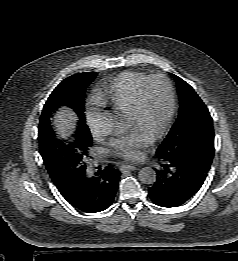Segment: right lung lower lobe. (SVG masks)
<instances>
[{"mask_svg":"<svg viewBox=\"0 0 238 261\" xmlns=\"http://www.w3.org/2000/svg\"><path fill=\"white\" fill-rule=\"evenodd\" d=\"M120 172L111 166L99 170L95 176L82 172L65 185H56L62 196L83 212H100L114 201Z\"/></svg>","mask_w":238,"mask_h":261,"instance_id":"1","label":"right lung lower lobe"}]
</instances>
